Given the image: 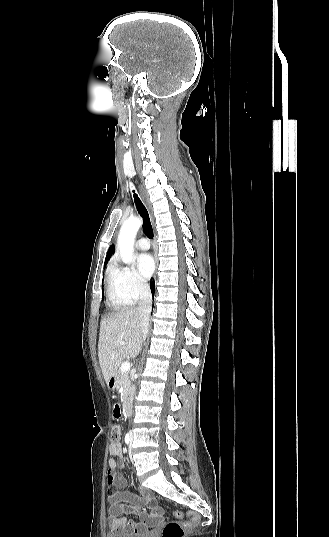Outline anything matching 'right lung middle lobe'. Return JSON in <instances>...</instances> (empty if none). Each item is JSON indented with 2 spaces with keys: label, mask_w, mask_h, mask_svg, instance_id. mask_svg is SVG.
<instances>
[{
  "label": "right lung middle lobe",
  "mask_w": 329,
  "mask_h": 537,
  "mask_svg": "<svg viewBox=\"0 0 329 537\" xmlns=\"http://www.w3.org/2000/svg\"><path fill=\"white\" fill-rule=\"evenodd\" d=\"M102 297H103V286H102Z\"/></svg>",
  "instance_id": "1"
}]
</instances>
